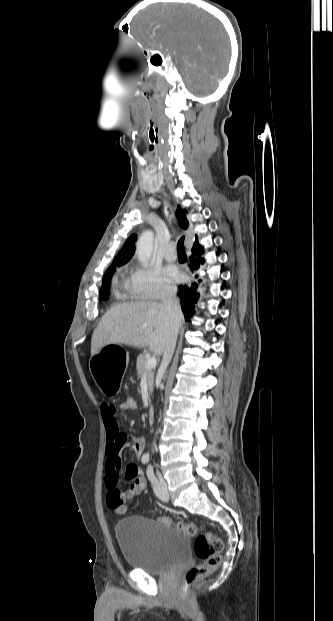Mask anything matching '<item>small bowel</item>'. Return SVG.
Masks as SVG:
<instances>
[{"mask_svg": "<svg viewBox=\"0 0 333 621\" xmlns=\"http://www.w3.org/2000/svg\"><path fill=\"white\" fill-rule=\"evenodd\" d=\"M100 410L107 433V505L115 509L118 504H125L126 501L139 495L146 486V480L141 469L135 463L129 462L124 468V475L129 482V486L125 490L119 488L122 468L120 454L122 449L129 447L136 458L139 459L145 447V439L143 437H127L120 431L116 419V409L112 404L102 402Z\"/></svg>", "mask_w": 333, "mask_h": 621, "instance_id": "small-bowel-1", "label": "small bowel"}]
</instances>
